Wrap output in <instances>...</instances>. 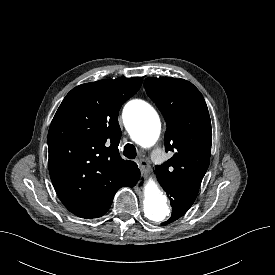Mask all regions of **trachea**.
Wrapping results in <instances>:
<instances>
[{"mask_svg": "<svg viewBox=\"0 0 275 275\" xmlns=\"http://www.w3.org/2000/svg\"><path fill=\"white\" fill-rule=\"evenodd\" d=\"M123 155L129 159H134L137 155L135 146L132 144H126L124 146Z\"/></svg>", "mask_w": 275, "mask_h": 275, "instance_id": "1", "label": "trachea"}]
</instances>
